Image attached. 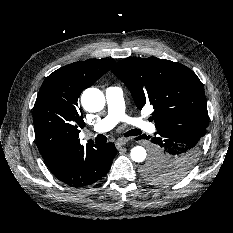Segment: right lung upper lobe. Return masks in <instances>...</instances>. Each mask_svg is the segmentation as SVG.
<instances>
[{
    "mask_svg": "<svg viewBox=\"0 0 233 233\" xmlns=\"http://www.w3.org/2000/svg\"><path fill=\"white\" fill-rule=\"evenodd\" d=\"M114 63L110 59L75 62L44 80L33 108V121L39 151L50 170L84 148L78 136L84 127L77 110L78 98ZM91 144L89 141L86 146Z\"/></svg>",
    "mask_w": 233,
    "mask_h": 233,
    "instance_id": "right-lung-upper-lobe-1",
    "label": "right lung upper lobe"
}]
</instances>
